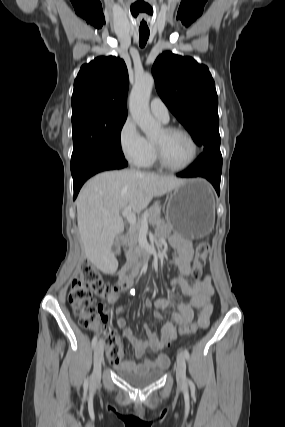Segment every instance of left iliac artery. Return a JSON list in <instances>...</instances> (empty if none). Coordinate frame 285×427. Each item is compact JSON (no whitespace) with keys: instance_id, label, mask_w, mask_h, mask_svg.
Returning a JSON list of instances; mask_svg holds the SVG:
<instances>
[{"instance_id":"left-iliac-artery-1","label":"left iliac artery","mask_w":285,"mask_h":427,"mask_svg":"<svg viewBox=\"0 0 285 427\" xmlns=\"http://www.w3.org/2000/svg\"><path fill=\"white\" fill-rule=\"evenodd\" d=\"M183 354H184L185 358H186L187 360H189V358H190V354H189V352H188V350H187V349H184V350H183ZM189 383H191V381H190V380H189Z\"/></svg>"}]
</instances>
